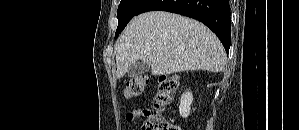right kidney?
Wrapping results in <instances>:
<instances>
[{
  "instance_id": "ca27d5eb",
  "label": "right kidney",
  "mask_w": 299,
  "mask_h": 130,
  "mask_svg": "<svg viewBox=\"0 0 299 130\" xmlns=\"http://www.w3.org/2000/svg\"><path fill=\"white\" fill-rule=\"evenodd\" d=\"M193 102V95L191 92H186L181 96L179 113L183 118H186L190 114L191 103Z\"/></svg>"
}]
</instances>
